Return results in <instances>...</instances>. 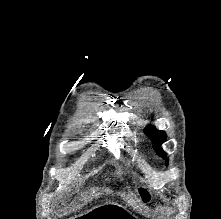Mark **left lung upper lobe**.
Returning <instances> with one entry per match:
<instances>
[{
	"label": "left lung upper lobe",
	"mask_w": 221,
	"mask_h": 219,
	"mask_svg": "<svg viewBox=\"0 0 221 219\" xmlns=\"http://www.w3.org/2000/svg\"><path fill=\"white\" fill-rule=\"evenodd\" d=\"M144 131L146 135L153 141V147L157 154L165 158L166 153L160 148L161 144L166 140L165 133L163 131L156 130L153 126L147 127Z\"/></svg>",
	"instance_id": "1"
}]
</instances>
